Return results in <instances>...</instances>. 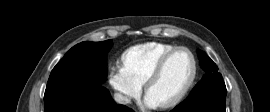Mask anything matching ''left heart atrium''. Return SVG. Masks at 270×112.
Instances as JSON below:
<instances>
[{
	"mask_svg": "<svg viewBox=\"0 0 270 112\" xmlns=\"http://www.w3.org/2000/svg\"><path fill=\"white\" fill-rule=\"evenodd\" d=\"M144 106L150 109H155L160 106V103L156 101L151 95L146 94L144 98Z\"/></svg>",
	"mask_w": 270,
	"mask_h": 112,
	"instance_id": "39dd6f15",
	"label": "left heart atrium"
}]
</instances>
